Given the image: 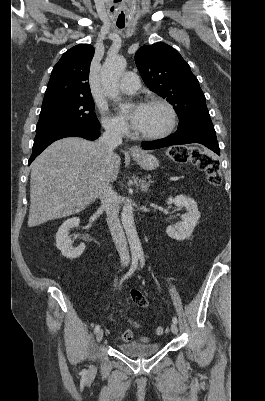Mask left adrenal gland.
<instances>
[{
	"mask_svg": "<svg viewBox=\"0 0 265 401\" xmlns=\"http://www.w3.org/2000/svg\"><path fill=\"white\" fill-rule=\"evenodd\" d=\"M150 182H152V180H148V182H146V180H141L140 178L137 186H140V190H142V192H147V190H149Z\"/></svg>",
	"mask_w": 265,
	"mask_h": 401,
	"instance_id": "a2214340",
	"label": "left adrenal gland"
}]
</instances>
